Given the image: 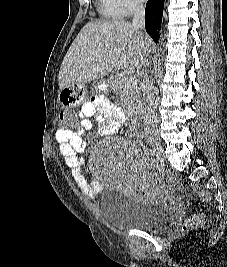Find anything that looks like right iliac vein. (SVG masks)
I'll use <instances>...</instances> for the list:
<instances>
[{
	"instance_id": "right-iliac-vein-1",
	"label": "right iliac vein",
	"mask_w": 227,
	"mask_h": 267,
	"mask_svg": "<svg viewBox=\"0 0 227 267\" xmlns=\"http://www.w3.org/2000/svg\"><path fill=\"white\" fill-rule=\"evenodd\" d=\"M148 141H149L150 146L157 152V154L160 157H162L163 148H162L160 140L155 136H151Z\"/></svg>"
}]
</instances>
